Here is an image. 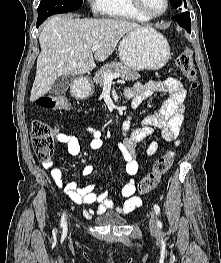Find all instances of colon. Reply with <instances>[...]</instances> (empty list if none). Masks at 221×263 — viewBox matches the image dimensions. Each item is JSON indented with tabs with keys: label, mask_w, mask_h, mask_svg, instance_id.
Masks as SVG:
<instances>
[{
	"label": "colon",
	"mask_w": 221,
	"mask_h": 263,
	"mask_svg": "<svg viewBox=\"0 0 221 263\" xmlns=\"http://www.w3.org/2000/svg\"><path fill=\"white\" fill-rule=\"evenodd\" d=\"M175 64L184 74L186 79L191 83L193 88L197 87L196 70L193 65L190 51L183 50L176 57ZM38 107L62 111L69 108V102L62 95H44L36 100ZM58 137L57 131L50 125L42 121H34L32 123V147L40 160L47 161L53 152V142ZM174 161V153L168 151L161 155L154 163L152 169L142 178L138 184V192L147 194L153 190L159 183L161 177L168 171Z\"/></svg>",
	"instance_id": "5ec220e1"
}]
</instances>
